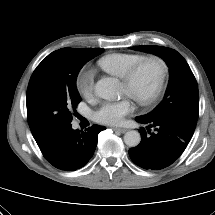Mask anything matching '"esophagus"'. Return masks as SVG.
<instances>
[{"label": "esophagus", "mask_w": 215, "mask_h": 215, "mask_svg": "<svg viewBox=\"0 0 215 215\" xmlns=\"http://www.w3.org/2000/svg\"><path fill=\"white\" fill-rule=\"evenodd\" d=\"M113 130H114V131H119V132H121V133L127 132V129H126V128L114 127Z\"/></svg>", "instance_id": "1"}]
</instances>
